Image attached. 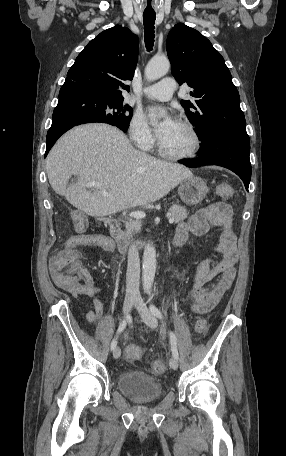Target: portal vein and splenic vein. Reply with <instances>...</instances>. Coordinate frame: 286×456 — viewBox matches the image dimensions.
I'll return each instance as SVG.
<instances>
[{
    "label": "portal vein and splenic vein",
    "instance_id": "1",
    "mask_svg": "<svg viewBox=\"0 0 286 456\" xmlns=\"http://www.w3.org/2000/svg\"><path fill=\"white\" fill-rule=\"evenodd\" d=\"M87 187L88 188H92L93 187V188L101 189L102 191H104V188H103L102 184L96 183V182H89L87 184ZM145 216H146V214L143 211H134V212L130 213V217L135 218V219H142ZM168 218H169V223L170 224L174 223V218H172L171 215H169Z\"/></svg>",
    "mask_w": 286,
    "mask_h": 456
}]
</instances>
